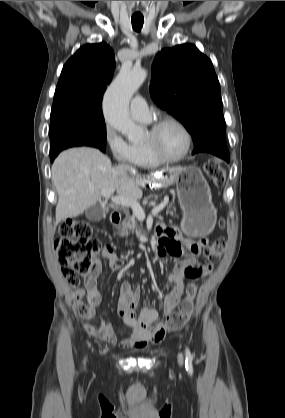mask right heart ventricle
Segmentation results:
<instances>
[{
  "label": "right heart ventricle",
  "mask_w": 285,
  "mask_h": 418,
  "mask_svg": "<svg viewBox=\"0 0 285 418\" xmlns=\"http://www.w3.org/2000/svg\"><path fill=\"white\" fill-rule=\"evenodd\" d=\"M133 151L134 163L143 167H156L161 163L155 160L148 152L144 143H130Z\"/></svg>",
  "instance_id": "e07e8e85"
}]
</instances>
